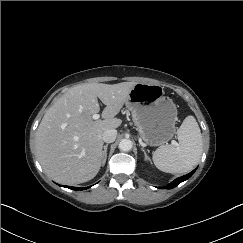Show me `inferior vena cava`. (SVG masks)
<instances>
[{
  "label": "inferior vena cava",
  "instance_id": "obj_1",
  "mask_svg": "<svg viewBox=\"0 0 243 243\" xmlns=\"http://www.w3.org/2000/svg\"><path fill=\"white\" fill-rule=\"evenodd\" d=\"M117 137V131L115 129H108L103 132L102 139L106 143H112Z\"/></svg>",
  "mask_w": 243,
  "mask_h": 243
}]
</instances>
